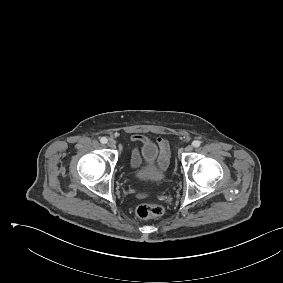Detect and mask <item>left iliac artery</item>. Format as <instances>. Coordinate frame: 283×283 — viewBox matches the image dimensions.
I'll use <instances>...</instances> for the list:
<instances>
[{"instance_id":"44dca946","label":"left iliac artery","mask_w":283,"mask_h":283,"mask_svg":"<svg viewBox=\"0 0 283 283\" xmlns=\"http://www.w3.org/2000/svg\"><path fill=\"white\" fill-rule=\"evenodd\" d=\"M200 141H198V140H194L193 141V143H192V145L194 146V147H199L200 146Z\"/></svg>"}]
</instances>
